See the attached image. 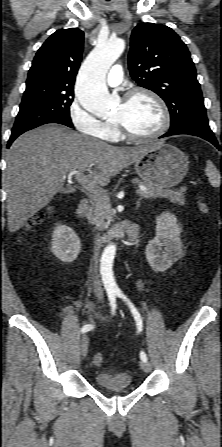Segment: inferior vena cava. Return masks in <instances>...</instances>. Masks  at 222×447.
Here are the masks:
<instances>
[{"label": "inferior vena cava", "instance_id": "602c4592", "mask_svg": "<svg viewBox=\"0 0 222 447\" xmlns=\"http://www.w3.org/2000/svg\"><path fill=\"white\" fill-rule=\"evenodd\" d=\"M95 242L97 243V239L95 240ZM99 255H98V251L97 248H95V252H94V256H93V262H94V268H93V283H94V291L97 295L98 298H102L103 297V293H102V289H101V284H100V280H99V274H98V259Z\"/></svg>", "mask_w": 222, "mask_h": 447}]
</instances>
